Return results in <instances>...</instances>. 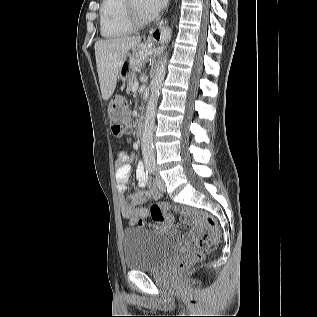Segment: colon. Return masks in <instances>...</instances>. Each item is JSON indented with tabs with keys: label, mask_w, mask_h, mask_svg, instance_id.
I'll return each mask as SVG.
<instances>
[{
	"label": "colon",
	"mask_w": 317,
	"mask_h": 317,
	"mask_svg": "<svg viewBox=\"0 0 317 317\" xmlns=\"http://www.w3.org/2000/svg\"><path fill=\"white\" fill-rule=\"evenodd\" d=\"M108 117L113 134L118 137L125 136L129 130L130 118L128 105L123 97L116 96L111 99L108 105ZM169 208L165 204H153L150 208V216L156 222L171 221V216L167 212ZM174 210L181 215L183 221L196 220L206 225L198 241L175 265L177 271L184 272L200 262L211 246L219 241L220 230L215 219L205 212L189 208H174Z\"/></svg>",
	"instance_id": "obj_1"
}]
</instances>
